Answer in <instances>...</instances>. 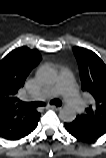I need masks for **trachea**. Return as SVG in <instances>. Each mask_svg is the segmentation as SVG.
I'll use <instances>...</instances> for the list:
<instances>
[{
  "mask_svg": "<svg viewBox=\"0 0 106 158\" xmlns=\"http://www.w3.org/2000/svg\"><path fill=\"white\" fill-rule=\"evenodd\" d=\"M44 103L42 102H31V103H26V107L31 109V108H35V107H38V106H41L43 105ZM50 104L51 105H59L61 104V102L57 99H53L50 101Z\"/></svg>",
  "mask_w": 106,
  "mask_h": 158,
  "instance_id": "trachea-1",
  "label": "trachea"
}]
</instances>
